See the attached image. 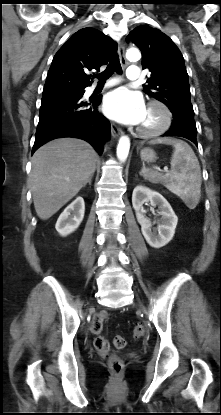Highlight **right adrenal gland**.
Here are the masks:
<instances>
[{
	"label": "right adrenal gland",
	"instance_id": "right-adrenal-gland-1",
	"mask_svg": "<svg viewBox=\"0 0 221 415\" xmlns=\"http://www.w3.org/2000/svg\"><path fill=\"white\" fill-rule=\"evenodd\" d=\"M92 178H93V175H91V176H90V178H89V179H88V181H87V183H88L89 185H91Z\"/></svg>",
	"mask_w": 221,
	"mask_h": 415
}]
</instances>
